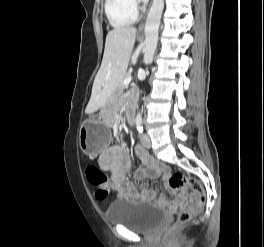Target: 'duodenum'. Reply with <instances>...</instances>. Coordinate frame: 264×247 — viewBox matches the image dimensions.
<instances>
[{"label": "duodenum", "instance_id": "1", "mask_svg": "<svg viewBox=\"0 0 264 247\" xmlns=\"http://www.w3.org/2000/svg\"><path fill=\"white\" fill-rule=\"evenodd\" d=\"M127 120L129 123H133L134 121V115L132 112H129L128 115H127Z\"/></svg>", "mask_w": 264, "mask_h": 247}]
</instances>
